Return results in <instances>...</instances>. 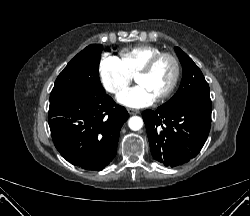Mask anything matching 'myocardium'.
Returning <instances> with one entry per match:
<instances>
[{
    "label": "myocardium",
    "mask_w": 250,
    "mask_h": 216,
    "mask_svg": "<svg viewBox=\"0 0 250 216\" xmlns=\"http://www.w3.org/2000/svg\"><path fill=\"white\" fill-rule=\"evenodd\" d=\"M163 58H168L169 60L172 61L173 66H174V73H173L172 80H171L169 86L167 87V89L155 97L156 101H161V100H164L165 98H167L174 91L175 87L177 86V83H178V80L180 77V72H181L180 62H179L178 58L172 53H168V52L159 53L156 56L152 57L147 62V64L135 76V78L137 80L140 76L147 75L148 73H150L153 70V68L156 66V64Z\"/></svg>",
    "instance_id": "f54148a6"
}]
</instances>
